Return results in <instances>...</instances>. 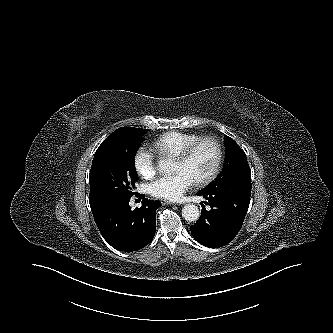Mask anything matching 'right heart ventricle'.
Listing matches in <instances>:
<instances>
[{
	"label": "right heart ventricle",
	"instance_id": "e07e8e85",
	"mask_svg": "<svg viewBox=\"0 0 333 333\" xmlns=\"http://www.w3.org/2000/svg\"><path fill=\"white\" fill-rule=\"evenodd\" d=\"M198 138L200 136L197 134L170 131L158 137L152 143L151 148L160 155L176 158L190 143Z\"/></svg>",
	"mask_w": 333,
	"mask_h": 333
}]
</instances>
